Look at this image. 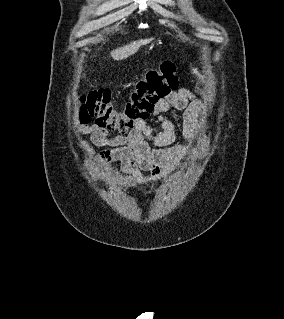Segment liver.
I'll use <instances>...</instances> for the list:
<instances>
[{
    "label": "liver",
    "instance_id": "6515ba94",
    "mask_svg": "<svg viewBox=\"0 0 284 319\" xmlns=\"http://www.w3.org/2000/svg\"><path fill=\"white\" fill-rule=\"evenodd\" d=\"M151 41L152 39H140L137 41H133L127 45H124L111 51V57L117 61L126 59L129 56L135 54L141 46L146 45Z\"/></svg>",
    "mask_w": 284,
    "mask_h": 319
}]
</instances>
